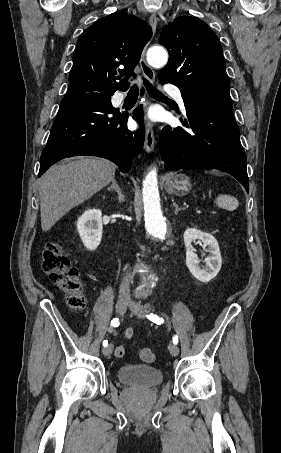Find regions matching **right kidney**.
Wrapping results in <instances>:
<instances>
[{
    "mask_svg": "<svg viewBox=\"0 0 281 453\" xmlns=\"http://www.w3.org/2000/svg\"><path fill=\"white\" fill-rule=\"evenodd\" d=\"M77 229L84 247L88 251H95L102 239L101 210L99 208L85 210L77 220Z\"/></svg>",
    "mask_w": 281,
    "mask_h": 453,
    "instance_id": "1",
    "label": "right kidney"
}]
</instances>
